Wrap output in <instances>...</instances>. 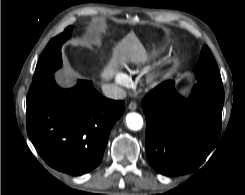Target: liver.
I'll use <instances>...</instances> for the list:
<instances>
[{"label":"liver","instance_id":"obj_1","mask_svg":"<svg viewBox=\"0 0 245 195\" xmlns=\"http://www.w3.org/2000/svg\"><path fill=\"white\" fill-rule=\"evenodd\" d=\"M125 61H131L136 64H145L148 61L145 49L134 32H130L114 48L113 58L103 69L101 78L105 81L112 79L118 62ZM64 73L73 75L74 71L69 66H66Z\"/></svg>","mask_w":245,"mask_h":195}]
</instances>
